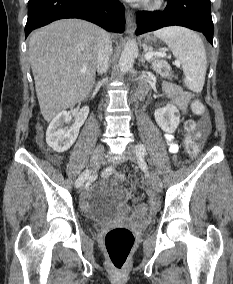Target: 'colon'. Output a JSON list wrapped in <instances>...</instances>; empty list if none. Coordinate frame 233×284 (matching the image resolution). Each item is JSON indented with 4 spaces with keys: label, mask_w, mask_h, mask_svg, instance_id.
Instances as JSON below:
<instances>
[{
    "label": "colon",
    "mask_w": 233,
    "mask_h": 284,
    "mask_svg": "<svg viewBox=\"0 0 233 284\" xmlns=\"http://www.w3.org/2000/svg\"><path fill=\"white\" fill-rule=\"evenodd\" d=\"M155 71L163 76L168 77L171 74L169 64L164 60H157L154 62ZM191 110L196 115L205 114V107L199 100H193L191 103ZM186 135L184 137V144L187 153L191 157H196L202 146L203 137L196 136L195 127L192 124L185 125ZM103 178L114 177L118 182L125 180V175L121 172H116L112 167H107L102 172ZM148 207L144 204L137 206L134 210V216L137 219L143 220L147 218ZM133 232L125 227H114L105 235V248L111 265L116 270H123L128 261L129 255L134 245Z\"/></svg>",
    "instance_id": "5ec220e1"
}]
</instances>
